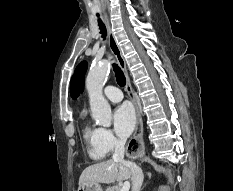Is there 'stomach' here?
<instances>
[{
  "label": "stomach",
  "instance_id": "1",
  "mask_svg": "<svg viewBox=\"0 0 233 191\" xmlns=\"http://www.w3.org/2000/svg\"><path fill=\"white\" fill-rule=\"evenodd\" d=\"M77 191H103V189L99 183H93L80 185Z\"/></svg>",
  "mask_w": 233,
  "mask_h": 191
}]
</instances>
